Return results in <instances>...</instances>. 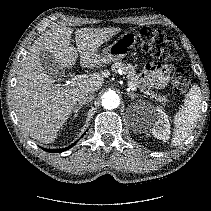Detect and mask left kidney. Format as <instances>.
I'll list each match as a JSON object with an SVG mask.
<instances>
[{"label": "left kidney", "instance_id": "1", "mask_svg": "<svg viewBox=\"0 0 211 211\" xmlns=\"http://www.w3.org/2000/svg\"><path fill=\"white\" fill-rule=\"evenodd\" d=\"M152 118L154 120L150 122L143 121V123H149L150 130L155 138L167 141L170 137V123L168 116L161 108H155L152 111Z\"/></svg>", "mask_w": 211, "mask_h": 211}]
</instances>
